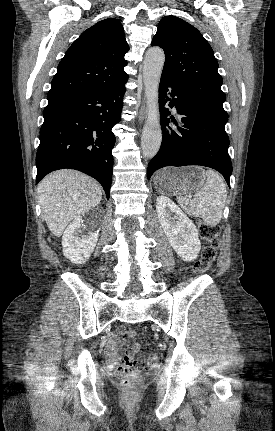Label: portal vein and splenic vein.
Instances as JSON below:
<instances>
[{"mask_svg":"<svg viewBox=\"0 0 275 431\" xmlns=\"http://www.w3.org/2000/svg\"><path fill=\"white\" fill-rule=\"evenodd\" d=\"M192 198V196L191 195H188V199H191Z\"/></svg>","mask_w":275,"mask_h":431,"instance_id":"portal-vein-and-splenic-vein-1","label":"portal vein and splenic vein"}]
</instances>
